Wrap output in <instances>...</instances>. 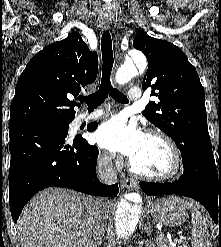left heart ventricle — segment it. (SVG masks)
Segmentation results:
<instances>
[{"mask_svg":"<svg viewBox=\"0 0 221 247\" xmlns=\"http://www.w3.org/2000/svg\"><path fill=\"white\" fill-rule=\"evenodd\" d=\"M130 160L137 170L152 175L166 174L173 167L168 146L160 139L147 135L139 151Z\"/></svg>","mask_w":221,"mask_h":247,"instance_id":"left-heart-ventricle-1","label":"left heart ventricle"}]
</instances>
